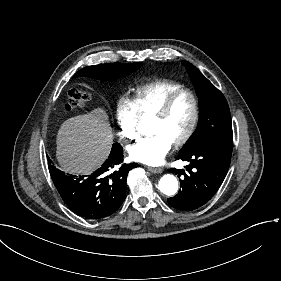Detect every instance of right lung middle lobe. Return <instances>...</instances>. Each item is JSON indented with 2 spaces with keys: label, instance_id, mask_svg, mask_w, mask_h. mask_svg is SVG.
I'll list each match as a JSON object with an SVG mask.
<instances>
[{
  "label": "right lung middle lobe",
  "instance_id": "right-lung-middle-lobe-1",
  "mask_svg": "<svg viewBox=\"0 0 281 281\" xmlns=\"http://www.w3.org/2000/svg\"><path fill=\"white\" fill-rule=\"evenodd\" d=\"M142 66V63H108L85 67L75 73V77L87 76L101 80H115L131 74Z\"/></svg>",
  "mask_w": 281,
  "mask_h": 281
}]
</instances>
